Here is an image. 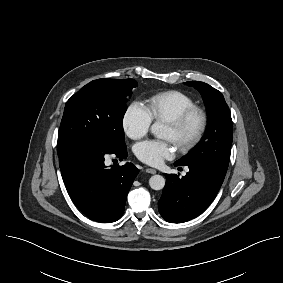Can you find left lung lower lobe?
Returning a JSON list of instances; mask_svg holds the SVG:
<instances>
[{
	"label": "left lung lower lobe",
	"instance_id": "1",
	"mask_svg": "<svg viewBox=\"0 0 283 283\" xmlns=\"http://www.w3.org/2000/svg\"><path fill=\"white\" fill-rule=\"evenodd\" d=\"M175 166H180L175 162ZM189 172L179 177L164 174L166 185L158 202L161 216L167 222H186L206 210L216 197L225 174L207 166L188 164Z\"/></svg>",
	"mask_w": 283,
	"mask_h": 283
}]
</instances>
